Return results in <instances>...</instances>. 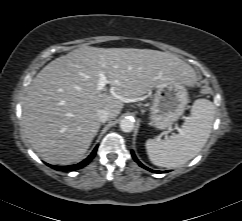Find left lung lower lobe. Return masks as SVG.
<instances>
[{
    "label": "left lung lower lobe",
    "instance_id": "obj_1",
    "mask_svg": "<svg viewBox=\"0 0 242 221\" xmlns=\"http://www.w3.org/2000/svg\"><path fill=\"white\" fill-rule=\"evenodd\" d=\"M131 154H132V157H133V159L142 167V168H145V169H147L148 171H151V172H153V173H161L160 171H154V170H152V169H149L148 167H146V166H144L138 159H137V157L135 156V154H134V152L132 151L131 152Z\"/></svg>",
    "mask_w": 242,
    "mask_h": 221
}]
</instances>
